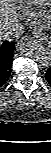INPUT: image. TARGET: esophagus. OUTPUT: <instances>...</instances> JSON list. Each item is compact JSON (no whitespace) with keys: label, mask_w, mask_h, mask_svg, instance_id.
Masks as SVG:
<instances>
[{"label":"esophagus","mask_w":51,"mask_h":153,"mask_svg":"<svg viewBox=\"0 0 51 153\" xmlns=\"http://www.w3.org/2000/svg\"><path fill=\"white\" fill-rule=\"evenodd\" d=\"M34 37L41 39L42 33L39 29H34L33 31Z\"/></svg>","instance_id":"1"}]
</instances>
